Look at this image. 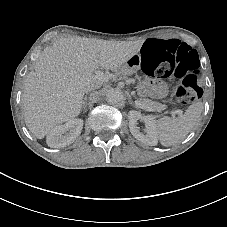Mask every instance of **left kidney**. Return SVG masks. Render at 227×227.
Returning a JSON list of instances; mask_svg holds the SVG:
<instances>
[{
    "instance_id": "left-kidney-1",
    "label": "left kidney",
    "mask_w": 227,
    "mask_h": 227,
    "mask_svg": "<svg viewBox=\"0 0 227 227\" xmlns=\"http://www.w3.org/2000/svg\"><path fill=\"white\" fill-rule=\"evenodd\" d=\"M128 119L130 132L137 140L149 146L157 145L158 139L156 136L155 116L153 115L142 116L140 112L131 110L128 113ZM138 120L144 121L146 134L140 132V129L137 126Z\"/></svg>"
}]
</instances>
